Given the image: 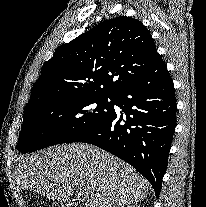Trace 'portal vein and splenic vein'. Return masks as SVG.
I'll use <instances>...</instances> for the list:
<instances>
[{"label":"portal vein and splenic vein","mask_w":206,"mask_h":207,"mask_svg":"<svg viewBox=\"0 0 206 207\" xmlns=\"http://www.w3.org/2000/svg\"><path fill=\"white\" fill-rule=\"evenodd\" d=\"M78 196H79V197H83V196H85V192H84V191H79Z\"/></svg>","instance_id":"portal-vein-and-splenic-vein-1"}]
</instances>
